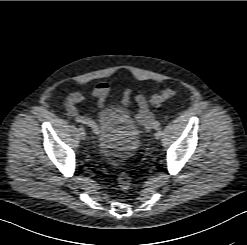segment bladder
Instances as JSON below:
<instances>
[{"label": "bladder", "instance_id": "31cf9c89", "mask_svg": "<svg viewBox=\"0 0 247 245\" xmlns=\"http://www.w3.org/2000/svg\"><path fill=\"white\" fill-rule=\"evenodd\" d=\"M96 142L106 160L124 162L138 152L140 130L123 107L110 105L99 113Z\"/></svg>", "mask_w": 247, "mask_h": 245}]
</instances>
